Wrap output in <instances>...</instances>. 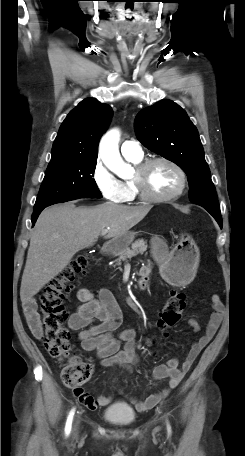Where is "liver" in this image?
Returning <instances> with one entry per match:
<instances>
[{"mask_svg": "<svg viewBox=\"0 0 245 456\" xmlns=\"http://www.w3.org/2000/svg\"><path fill=\"white\" fill-rule=\"evenodd\" d=\"M151 205L125 206L105 202L94 207L56 204L39 216L30 239L20 298L29 301L70 263L80 250L95 244L100 233L119 237L138 224Z\"/></svg>", "mask_w": 245, "mask_h": 456, "instance_id": "liver-1", "label": "liver"}]
</instances>
